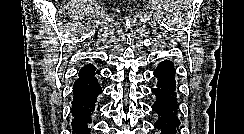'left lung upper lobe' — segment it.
Returning <instances> with one entry per match:
<instances>
[{
    "instance_id": "5c2ea615",
    "label": "left lung upper lobe",
    "mask_w": 244,
    "mask_h": 134,
    "mask_svg": "<svg viewBox=\"0 0 244 134\" xmlns=\"http://www.w3.org/2000/svg\"><path fill=\"white\" fill-rule=\"evenodd\" d=\"M174 74V64L169 60L160 62L154 72V75L158 77V82L163 85H175Z\"/></svg>"
}]
</instances>
